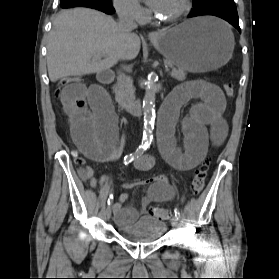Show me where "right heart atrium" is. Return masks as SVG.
<instances>
[{
  "mask_svg": "<svg viewBox=\"0 0 279 279\" xmlns=\"http://www.w3.org/2000/svg\"><path fill=\"white\" fill-rule=\"evenodd\" d=\"M114 8L118 15L125 19L137 22L147 17V10L141 6L138 0H113Z\"/></svg>",
  "mask_w": 279,
  "mask_h": 279,
  "instance_id": "obj_1",
  "label": "right heart atrium"
}]
</instances>
